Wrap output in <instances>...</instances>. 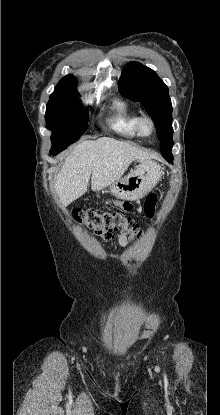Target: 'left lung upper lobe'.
Returning <instances> with one entry per match:
<instances>
[{
	"label": "left lung upper lobe",
	"mask_w": 220,
	"mask_h": 415,
	"mask_svg": "<svg viewBox=\"0 0 220 415\" xmlns=\"http://www.w3.org/2000/svg\"><path fill=\"white\" fill-rule=\"evenodd\" d=\"M118 89L124 96L141 102L155 123L162 156L172 155V105L164 82L152 69L130 62L122 72Z\"/></svg>",
	"instance_id": "1"
}]
</instances>
